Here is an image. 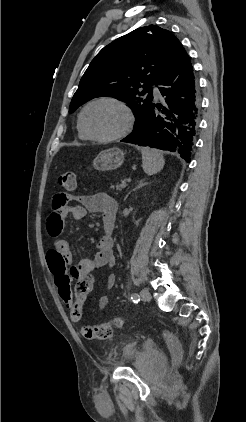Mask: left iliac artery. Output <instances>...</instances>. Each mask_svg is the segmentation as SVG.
Returning a JSON list of instances; mask_svg holds the SVG:
<instances>
[{
  "instance_id": "44dca946",
  "label": "left iliac artery",
  "mask_w": 246,
  "mask_h": 422,
  "mask_svg": "<svg viewBox=\"0 0 246 422\" xmlns=\"http://www.w3.org/2000/svg\"><path fill=\"white\" fill-rule=\"evenodd\" d=\"M131 299H132V301H133L134 303H137V302H139V301H140L139 295H138L137 293H133V294L131 295Z\"/></svg>"
}]
</instances>
